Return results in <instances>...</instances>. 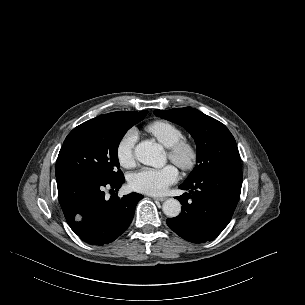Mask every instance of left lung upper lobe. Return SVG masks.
I'll list each match as a JSON object with an SVG mask.
<instances>
[{
	"instance_id": "1",
	"label": "left lung upper lobe",
	"mask_w": 305,
	"mask_h": 305,
	"mask_svg": "<svg viewBox=\"0 0 305 305\" xmlns=\"http://www.w3.org/2000/svg\"><path fill=\"white\" fill-rule=\"evenodd\" d=\"M154 114L183 126L196 142L197 164L185 182L221 167L241 165L233 135L216 119L191 107L155 110Z\"/></svg>"
}]
</instances>
